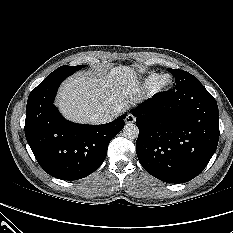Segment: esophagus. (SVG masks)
I'll use <instances>...</instances> for the list:
<instances>
[{
  "label": "esophagus",
  "instance_id": "obj_1",
  "mask_svg": "<svg viewBox=\"0 0 233 233\" xmlns=\"http://www.w3.org/2000/svg\"><path fill=\"white\" fill-rule=\"evenodd\" d=\"M136 120L135 116L128 114L125 118V122L126 123H134Z\"/></svg>",
  "mask_w": 233,
  "mask_h": 233
}]
</instances>
